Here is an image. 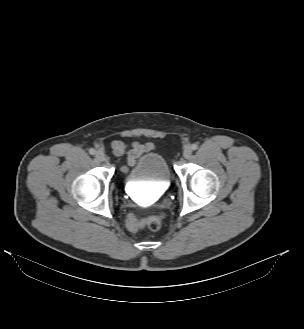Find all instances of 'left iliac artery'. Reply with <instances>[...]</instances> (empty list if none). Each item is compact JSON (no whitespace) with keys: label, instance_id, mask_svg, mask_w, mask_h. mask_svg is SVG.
<instances>
[{"label":"left iliac artery","instance_id":"obj_1","mask_svg":"<svg viewBox=\"0 0 304 329\" xmlns=\"http://www.w3.org/2000/svg\"><path fill=\"white\" fill-rule=\"evenodd\" d=\"M197 148H198V145L197 144H192V146H191V149L192 150H197Z\"/></svg>","mask_w":304,"mask_h":329}]
</instances>
